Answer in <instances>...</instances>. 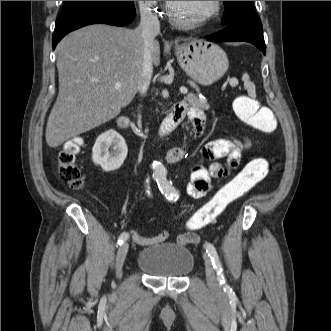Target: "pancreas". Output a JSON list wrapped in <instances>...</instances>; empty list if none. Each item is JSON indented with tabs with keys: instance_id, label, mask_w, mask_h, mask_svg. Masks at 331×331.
<instances>
[{
	"instance_id": "1",
	"label": "pancreas",
	"mask_w": 331,
	"mask_h": 331,
	"mask_svg": "<svg viewBox=\"0 0 331 331\" xmlns=\"http://www.w3.org/2000/svg\"><path fill=\"white\" fill-rule=\"evenodd\" d=\"M186 100L191 104L192 106L207 109L209 108V104L207 103L206 98H200L199 96L189 93L186 97Z\"/></svg>"
}]
</instances>
